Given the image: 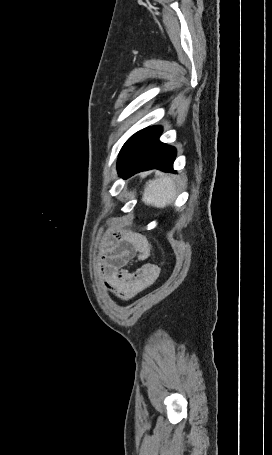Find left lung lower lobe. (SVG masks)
<instances>
[{
	"label": "left lung lower lobe",
	"instance_id": "obj_1",
	"mask_svg": "<svg viewBox=\"0 0 272 455\" xmlns=\"http://www.w3.org/2000/svg\"><path fill=\"white\" fill-rule=\"evenodd\" d=\"M160 126L148 127L131 136L122 147L118 161V174L123 178L140 171L160 169L173 171L176 151L159 141Z\"/></svg>",
	"mask_w": 272,
	"mask_h": 455
}]
</instances>
